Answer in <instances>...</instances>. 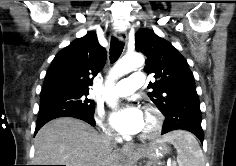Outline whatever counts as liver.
Listing matches in <instances>:
<instances>
[{
    "label": "liver",
    "instance_id": "liver-1",
    "mask_svg": "<svg viewBox=\"0 0 236 166\" xmlns=\"http://www.w3.org/2000/svg\"><path fill=\"white\" fill-rule=\"evenodd\" d=\"M35 165L119 166V153L108 150L89 124L70 117L44 125L35 140Z\"/></svg>",
    "mask_w": 236,
    "mask_h": 166
}]
</instances>
